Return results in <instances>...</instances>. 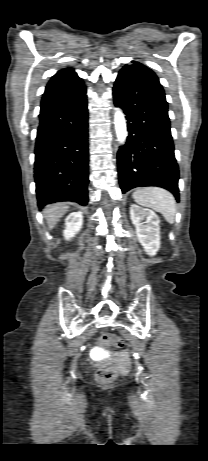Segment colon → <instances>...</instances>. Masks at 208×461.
<instances>
[{
    "label": "colon",
    "instance_id": "obj_1",
    "mask_svg": "<svg viewBox=\"0 0 208 461\" xmlns=\"http://www.w3.org/2000/svg\"><path fill=\"white\" fill-rule=\"evenodd\" d=\"M99 344L102 346L115 345L119 348L125 346V342L121 338L111 333L102 334L99 338ZM95 377L100 384H109L116 379L117 370L114 366H105L97 370Z\"/></svg>",
    "mask_w": 208,
    "mask_h": 461
}]
</instances>
